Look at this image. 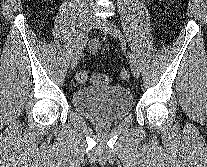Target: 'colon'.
Wrapping results in <instances>:
<instances>
[{
	"label": "colon",
	"instance_id": "colon-1",
	"mask_svg": "<svg viewBox=\"0 0 207 167\" xmlns=\"http://www.w3.org/2000/svg\"><path fill=\"white\" fill-rule=\"evenodd\" d=\"M75 77H76L77 82L80 84H85L91 80L93 83L97 85L105 86L111 82V78L106 74H103V73L89 74L85 70H78ZM120 78L123 80H128L130 78L129 70L122 69L120 71Z\"/></svg>",
	"mask_w": 207,
	"mask_h": 167
}]
</instances>
